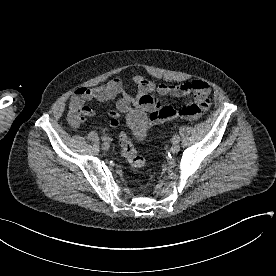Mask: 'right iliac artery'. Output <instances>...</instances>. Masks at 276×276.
<instances>
[{
    "mask_svg": "<svg viewBox=\"0 0 276 276\" xmlns=\"http://www.w3.org/2000/svg\"><path fill=\"white\" fill-rule=\"evenodd\" d=\"M102 141H110L111 138H109L108 136L104 135L101 137Z\"/></svg>",
    "mask_w": 276,
    "mask_h": 276,
    "instance_id": "82829eb1",
    "label": "right iliac artery"
}]
</instances>
